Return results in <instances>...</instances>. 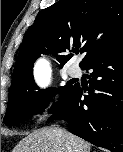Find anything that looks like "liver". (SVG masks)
Masks as SVG:
<instances>
[{
	"instance_id": "6515ba94",
	"label": "liver",
	"mask_w": 123,
	"mask_h": 152,
	"mask_svg": "<svg viewBox=\"0 0 123 152\" xmlns=\"http://www.w3.org/2000/svg\"><path fill=\"white\" fill-rule=\"evenodd\" d=\"M88 142L57 127L39 129L23 138L13 152H90Z\"/></svg>"
}]
</instances>
